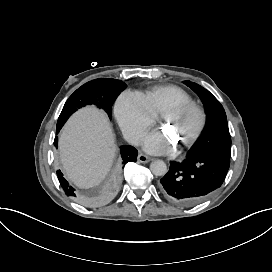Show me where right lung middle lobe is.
<instances>
[{"label": "right lung middle lobe", "instance_id": "obj_1", "mask_svg": "<svg viewBox=\"0 0 272 272\" xmlns=\"http://www.w3.org/2000/svg\"><path fill=\"white\" fill-rule=\"evenodd\" d=\"M125 87L124 82L112 78H99L87 82L68 98L59 116L57 127H62L71 114L85 105H96L106 110L111 118L112 104Z\"/></svg>", "mask_w": 272, "mask_h": 272}]
</instances>
